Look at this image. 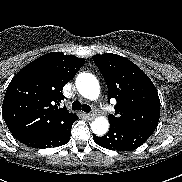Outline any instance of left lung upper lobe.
I'll list each match as a JSON object with an SVG mask.
<instances>
[{"instance_id": "left-lung-upper-lobe-1", "label": "left lung upper lobe", "mask_w": 182, "mask_h": 182, "mask_svg": "<svg viewBox=\"0 0 182 182\" xmlns=\"http://www.w3.org/2000/svg\"><path fill=\"white\" fill-rule=\"evenodd\" d=\"M108 87V102L115 98L113 124L130 125L154 131L159 122L160 100L151 79L132 61L104 53L92 57Z\"/></svg>"}]
</instances>
